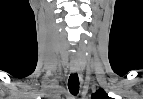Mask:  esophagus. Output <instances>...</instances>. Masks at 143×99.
<instances>
[{"mask_svg": "<svg viewBox=\"0 0 143 99\" xmlns=\"http://www.w3.org/2000/svg\"><path fill=\"white\" fill-rule=\"evenodd\" d=\"M70 69H71L72 73H78L79 80H80L81 84H83L84 79H83V75L80 73L78 64L75 63V62H72L71 65H70Z\"/></svg>", "mask_w": 143, "mask_h": 99, "instance_id": "esophagus-1", "label": "esophagus"}]
</instances>
